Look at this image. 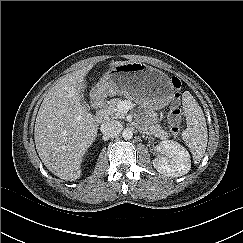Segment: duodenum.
Returning <instances> with one entry per match:
<instances>
[{
  "mask_svg": "<svg viewBox=\"0 0 243 243\" xmlns=\"http://www.w3.org/2000/svg\"><path fill=\"white\" fill-rule=\"evenodd\" d=\"M105 104L106 98L102 97L100 94L94 96L93 106L96 109L95 119L97 122H103L105 120Z\"/></svg>",
  "mask_w": 243,
  "mask_h": 243,
  "instance_id": "1",
  "label": "duodenum"
}]
</instances>
